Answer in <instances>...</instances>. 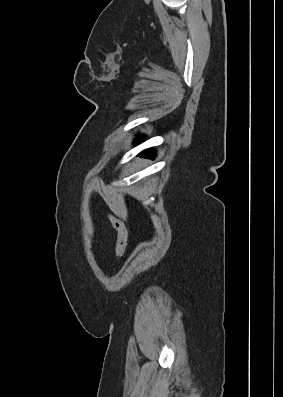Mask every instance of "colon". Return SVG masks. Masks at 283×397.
<instances>
[{
  "mask_svg": "<svg viewBox=\"0 0 283 397\" xmlns=\"http://www.w3.org/2000/svg\"><path fill=\"white\" fill-rule=\"evenodd\" d=\"M108 219L112 224L113 228L117 232V241L115 246V253H116V262L118 263L122 258L126 244H127V237H128V230L125 223L116 217L115 215L108 213Z\"/></svg>",
  "mask_w": 283,
  "mask_h": 397,
  "instance_id": "5ec220e1",
  "label": "colon"
}]
</instances>
